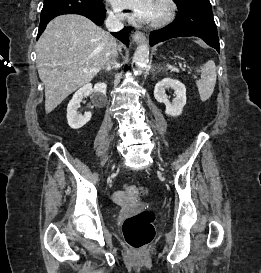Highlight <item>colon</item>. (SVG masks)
I'll list each match as a JSON object with an SVG mask.
<instances>
[{
	"label": "colon",
	"instance_id": "colon-1",
	"mask_svg": "<svg viewBox=\"0 0 261 273\" xmlns=\"http://www.w3.org/2000/svg\"><path fill=\"white\" fill-rule=\"evenodd\" d=\"M125 193L130 197H138L143 194L141 186L129 184L125 186ZM117 200L122 196L117 195ZM154 214L145 210L128 217L122 225V233L126 243L134 250L140 251L147 247L155 236L153 226Z\"/></svg>",
	"mask_w": 261,
	"mask_h": 273
}]
</instances>
